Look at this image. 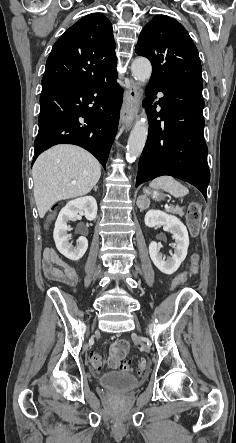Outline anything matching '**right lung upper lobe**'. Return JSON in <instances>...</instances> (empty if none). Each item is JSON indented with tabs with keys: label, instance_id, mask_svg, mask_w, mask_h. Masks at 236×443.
I'll return each mask as SVG.
<instances>
[{
	"label": "right lung upper lobe",
	"instance_id": "right-lung-upper-lobe-1",
	"mask_svg": "<svg viewBox=\"0 0 236 443\" xmlns=\"http://www.w3.org/2000/svg\"><path fill=\"white\" fill-rule=\"evenodd\" d=\"M112 25L101 13L89 14L54 44L46 62L42 87L92 82L116 72Z\"/></svg>",
	"mask_w": 236,
	"mask_h": 443
}]
</instances>
